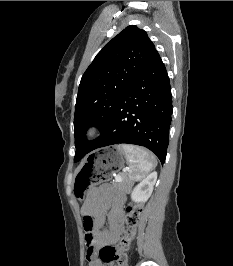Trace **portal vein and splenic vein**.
<instances>
[{"label": "portal vein and splenic vein", "instance_id": "obj_1", "mask_svg": "<svg viewBox=\"0 0 233 266\" xmlns=\"http://www.w3.org/2000/svg\"><path fill=\"white\" fill-rule=\"evenodd\" d=\"M124 171H125V170H124ZM115 180H116L117 182H121V181H122V176H121L120 174L116 175V176H115Z\"/></svg>", "mask_w": 233, "mask_h": 266}]
</instances>
